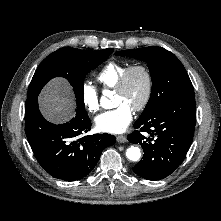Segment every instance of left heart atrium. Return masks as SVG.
<instances>
[{"label":"left heart atrium","instance_id":"39dd6f15","mask_svg":"<svg viewBox=\"0 0 221 221\" xmlns=\"http://www.w3.org/2000/svg\"><path fill=\"white\" fill-rule=\"evenodd\" d=\"M133 118L132 109L122 103L112 110L105 111L95 118L96 128L106 133H121L131 123Z\"/></svg>","mask_w":221,"mask_h":221}]
</instances>
